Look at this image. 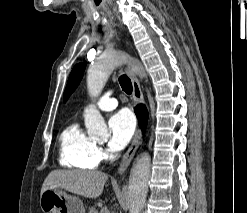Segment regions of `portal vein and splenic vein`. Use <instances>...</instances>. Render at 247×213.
I'll use <instances>...</instances> for the list:
<instances>
[{"instance_id": "18ae733b", "label": "portal vein and splenic vein", "mask_w": 247, "mask_h": 213, "mask_svg": "<svg viewBox=\"0 0 247 213\" xmlns=\"http://www.w3.org/2000/svg\"><path fill=\"white\" fill-rule=\"evenodd\" d=\"M100 213H109V210L107 208H103Z\"/></svg>"}]
</instances>
